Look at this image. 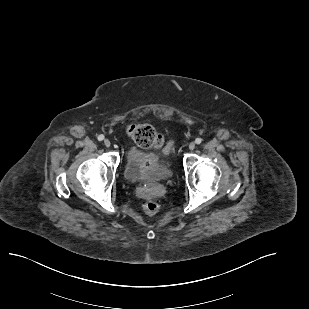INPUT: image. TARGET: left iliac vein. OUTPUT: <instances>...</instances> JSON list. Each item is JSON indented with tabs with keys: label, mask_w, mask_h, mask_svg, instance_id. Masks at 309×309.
I'll return each instance as SVG.
<instances>
[{
	"label": "left iliac vein",
	"mask_w": 309,
	"mask_h": 309,
	"mask_svg": "<svg viewBox=\"0 0 309 309\" xmlns=\"http://www.w3.org/2000/svg\"><path fill=\"white\" fill-rule=\"evenodd\" d=\"M188 147H189L190 150H194L195 149V143L191 142Z\"/></svg>",
	"instance_id": "obj_1"
}]
</instances>
